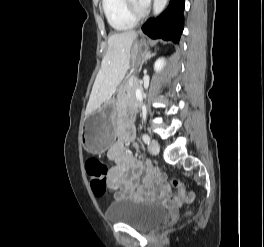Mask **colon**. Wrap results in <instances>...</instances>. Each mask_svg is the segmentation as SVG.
<instances>
[{
    "instance_id": "colon-1",
    "label": "colon",
    "mask_w": 264,
    "mask_h": 247,
    "mask_svg": "<svg viewBox=\"0 0 264 247\" xmlns=\"http://www.w3.org/2000/svg\"><path fill=\"white\" fill-rule=\"evenodd\" d=\"M86 172L91 181V187L95 194L103 195L108 189L109 174L107 167L98 159H88L85 163ZM173 186L177 189L178 195L188 201L193 199L192 194L186 195L184 185L179 180L173 181Z\"/></svg>"
}]
</instances>
